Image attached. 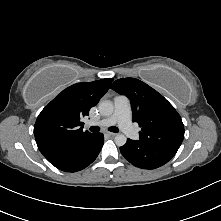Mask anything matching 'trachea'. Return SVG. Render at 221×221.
<instances>
[{"label":"trachea","instance_id":"1","mask_svg":"<svg viewBox=\"0 0 221 221\" xmlns=\"http://www.w3.org/2000/svg\"><path fill=\"white\" fill-rule=\"evenodd\" d=\"M89 130L91 132H98L100 128L98 126H91ZM108 130L114 133H117L119 131V129L115 126L109 127Z\"/></svg>","mask_w":221,"mask_h":221}]
</instances>
